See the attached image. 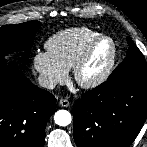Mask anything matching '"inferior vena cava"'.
<instances>
[{
  "label": "inferior vena cava",
  "mask_w": 147,
  "mask_h": 147,
  "mask_svg": "<svg viewBox=\"0 0 147 147\" xmlns=\"http://www.w3.org/2000/svg\"><path fill=\"white\" fill-rule=\"evenodd\" d=\"M38 84L41 87H44L47 89H54L56 87V82L53 79L48 78L46 76H39L38 77Z\"/></svg>",
  "instance_id": "obj_1"
}]
</instances>
